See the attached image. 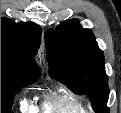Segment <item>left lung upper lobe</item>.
Segmentation results:
<instances>
[{"label":"left lung upper lobe","instance_id":"1","mask_svg":"<svg viewBox=\"0 0 121 113\" xmlns=\"http://www.w3.org/2000/svg\"><path fill=\"white\" fill-rule=\"evenodd\" d=\"M45 33L49 74L76 94H85L97 113L109 112L104 54L93 33L67 20Z\"/></svg>","mask_w":121,"mask_h":113}]
</instances>
